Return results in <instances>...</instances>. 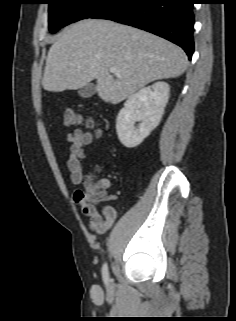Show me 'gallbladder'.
Wrapping results in <instances>:
<instances>
[{
	"label": "gallbladder",
	"mask_w": 236,
	"mask_h": 321,
	"mask_svg": "<svg viewBox=\"0 0 236 321\" xmlns=\"http://www.w3.org/2000/svg\"><path fill=\"white\" fill-rule=\"evenodd\" d=\"M96 92V87L93 83H88L84 87L80 88L78 94L82 98H90Z\"/></svg>",
	"instance_id": "obj_1"
}]
</instances>
